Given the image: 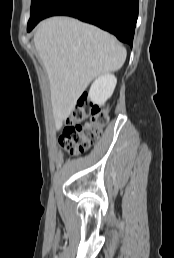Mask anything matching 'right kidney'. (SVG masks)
<instances>
[{
  "label": "right kidney",
  "instance_id": "obj_1",
  "mask_svg": "<svg viewBox=\"0 0 174 258\" xmlns=\"http://www.w3.org/2000/svg\"><path fill=\"white\" fill-rule=\"evenodd\" d=\"M117 79L113 74H104L95 79L89 90L90 100L99 106L105 104V102L112 96Z\"/></svg>",
  "mask_w": 174,
  "mask_h": 258
}]
</instances>
